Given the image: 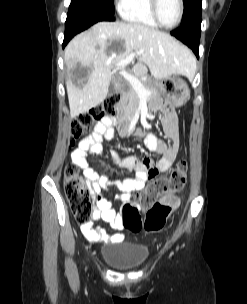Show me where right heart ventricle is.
I'll use <instances>...</instances> for the list:
<instances>
[{
  "label": "right heart ventricle",
  "instance_id": "e07e8e85",
  "mask_svg": "<svg viewBox=\"0 0 247 304\" xmlns=\"http://www.w3.org/2000/svg\"><path fill=\"white\" fill-rule=\"evenodd\" d=\"M120 13L126 21L152 28L158 27L151 13L150 0H125Z\"/></svg>",
  "mask_w": 247,
  "mask_h": 304
}]
</instances>
